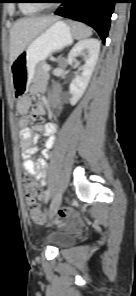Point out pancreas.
Listing matches in <instances>:
<instances>
[{
	"mask_svg": "<svg viewBox=\"0 0 136 296\" xmlns=\"http://www.w3.org/2000/svg\"><path fill=\"white\" fill-rule=\"evenodd\" d=\"M47 66L48 65H46L45 63H42L38 67V71H37L38 77H48V71L46 70Z\"/></svg>",
	"mask_w": 136,
	"mask_h": 296,
	"instance_id": "1",
	"label": "pancreas"
}]
</instances>
